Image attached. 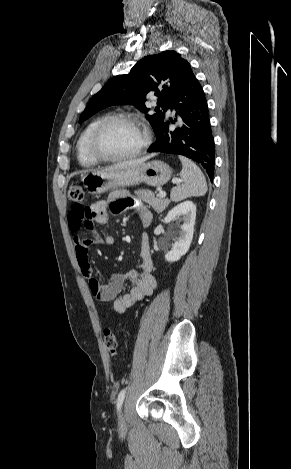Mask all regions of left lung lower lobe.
<instances>
[{"mask_svg": "<svg viewBox=\"0 0 291 469\" xmlns=\"http://www.w3.org/2000/svg\"><path fill=\"white\" fill-rule=\"evenodd\" d=\"M177 111L178 119L165 120L159 127L157 138L148 152L179 154L199 163L208 174L214 177L215 143L208 114V105L200 83L192 69L177 93L167 104ZM176 123L174 131L169 124Z\"/></svg>", "mask_w": 291, "mask_h": 469, "instance_id": "0a47b994", "label": "left lung lower lobe"}]
</instances>
